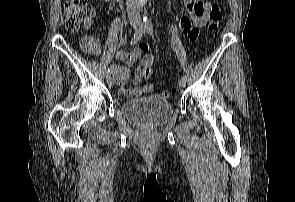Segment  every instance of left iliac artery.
<instances>
[{
    "instance_id": "left-iliac-artery-1",
    "label": "left iliac artery",
    "mask_w": 295,
    "mask_h": 202,
    "mask_svg": "<svg viewBox=\"0 0 295 202\" xmlns=\"http://www.w3.org/2000/svg\"><path fill=\"white\" fill-rule=\"evenodd\" d=\"M145 29L147 31V33L149 35H153V32H154V29H153V25L150 21H147L146 24H145ZM182 79H185L186 80V75H182Z\"/></svg>"
}]
</instances>
